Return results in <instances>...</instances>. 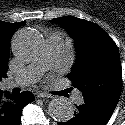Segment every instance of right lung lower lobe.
I'll use <instances>...</instances> for the list:
<instances>
[{"instance_id": "right-lung-lower-lobe-1", "label": "right lung lower lobe", "mask_w": 125, "mask_h": 125, "mask_svg": "<svg viewBox=\"0 0 125 125\" xmlns=\"http://www.w3.org/2000/svg\"><path fill=\"white\" fill-rule=\"evenodd\" d=\"M35 100L30 91L14 96L0 93V125H20L22 109Z\"/></svg>"}]
</instances>
